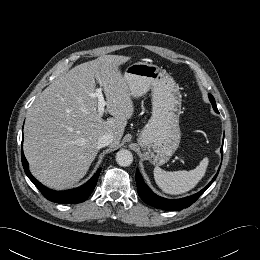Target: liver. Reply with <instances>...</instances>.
I'll use <instances>...</instances> for the list:
<instances>
[{
  "label": "liver",
  "mask_w": 260,
  "mask_h": 260,
  "mask_svg": "<svg viewBox=\"0 0 260 260\" xmlns=\"http://www.w3.org/2000/svg\"><path fill=\"white\" fill-rule=\"evenodd\" d=\"M130 57L104 55L75 66L52 82L28 109L24 126V154L33 176L45 186L61 190L77 183L98 154V138L113 135L120 143L134 112L128 85L119 66ZM95 79L103 88L106 121L97 110Z\"/></svg>",
  "instance_id": "obj_1"
}]
</instances>
